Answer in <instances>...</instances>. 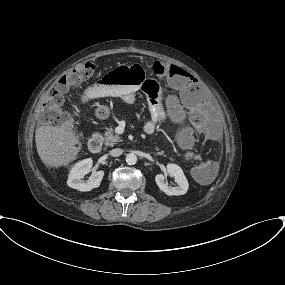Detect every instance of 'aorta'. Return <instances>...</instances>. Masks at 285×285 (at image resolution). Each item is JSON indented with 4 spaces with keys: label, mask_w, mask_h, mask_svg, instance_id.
<instances>
[{
    "label": "aorta",
    "mask_w": 285,
    "mask_h": 285,
    "mask_svg": "<svg viewBox=\"0 0 285 285\" xmlns=\"http://www.w3.org/2000/svg\"><path fill=\"white\" fill-rule=\"evenodd\" d=\"M137 162V156L134 153H129L126 155V163L129 165H134Z\"/></svg>",
    "instance_id": "aorta-1"
}]
</instances>
